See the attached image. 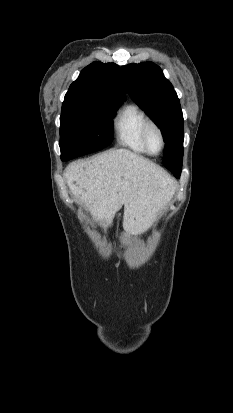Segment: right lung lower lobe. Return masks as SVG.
<instances>
[{
    "label": "right lung lower lobe",
    "instance_id": "obj_1",
    "mask_svg": "<svg viewBox=\"0 0 233 413\" xmlns=\"http://www.w3.org/2000/svg\"><path fill=\"white\" fill-rule=\"evenodd\" d=\"M62 159V161H68L69 159H65V158H61Z\"/></svg>",
    "mask_w": 233,
    "mask_h": 413
}]
</instances>
